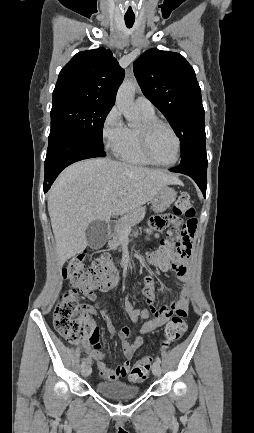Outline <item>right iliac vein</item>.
<instances>
[{
  "instance_id": "obj_1",
  "label": "right iliac vein",
  "mask_w": 254,
  "mask_h": 433,
  "mask_svg": "<svg viewBox=\"0 0 254 433\" xmlns=\"http://www.w3.org/2000/svg\"><path fill=\"white\" fill-rule=\"evenodd\" d=\"M91 373V367L90 366H85L84 368H82V375L84 377L89 376Z\"/></svg>"
}]
</instances>
